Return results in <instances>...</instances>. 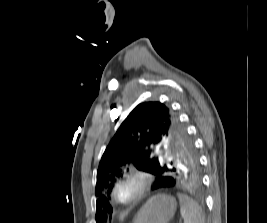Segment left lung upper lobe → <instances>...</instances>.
Instances as JSON below:
<instances>
[{
  "mask_svg": "<svg viewBox=\"0 0 267 223\" xmlns=\"http://www.w3.org/2000/svg\"><path fill=\"white\" fill-rule=\"evenodd\" d=\"M128 164L153 175L200 171L193 142L174 112L160 102L139 104L120 125L101 158L95 190L97 223H103L112 211L106 195Z\"/></svg>",
  "mask_w": 267,
  "mask_h": 223,
  "instance_id": "obj_1",
  "label": "left lung upper lobe"
}]
</instances>
